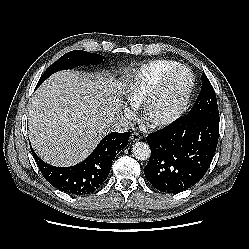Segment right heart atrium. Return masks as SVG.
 Wrapping results in <instances>:
<instances>
[{"label":"right heart atrium","mask_w":249,"mask_h":249,"mask_svg":"<svg viewBox=\"0 0 249 249\" xmlns=\"http://www.w3.org/2000/svg\"><path fill=\"white\" fill-rule=\"evenodd\" d=\"M126 115H127L128 117H130V116H131V113H130L129 111H126Z\"/></svg>","instance_id":"right-heart-atrium-1"}]
</instances>
